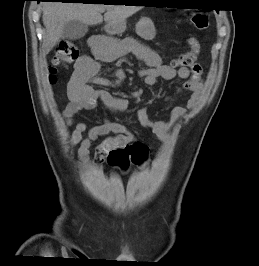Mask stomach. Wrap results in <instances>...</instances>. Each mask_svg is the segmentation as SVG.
I'll return each instance as SVG.
<instances>
[{
    "instance_id": "obj_1",
    "label": "stomach",
    "mask_w": 259,
    "mask_h": 266,
    "mask_svg": "<svg viewBox=\"0 0 259 266\" xmlns=\"http://www.w3.org/2000/svg\"><path fill=\"white\" fill-rule=\"evenodd\" d=\"M126 29L125 21L117 22L108 27L107 31L110 34H120ZM137 34L145 40H151L156 35V30L153 22L148 18H143L136 25Z\"/></svg>"
}]
</instances>
